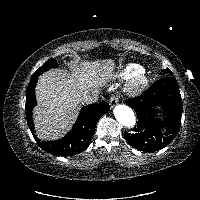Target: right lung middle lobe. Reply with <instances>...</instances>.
<instances>
[{"instance_id":"right-lung-middle-lobe-1","label":"right lung middle lobe","mask_w":200,"mask_h":200,"mask_svg":"<svg viewBox=\"0 0 200 200\" xmlns=\"http://www.w3.org/2000/svg\"><path fill=\"white\" fill-rule=\"evenodd\" d=\"M56 66H57V62L54 59H50L44 65H42L38 70L35 71L32 78H37L45 71L49 70L50 68L56 67Z\"/></svg>"}]
</instances>
